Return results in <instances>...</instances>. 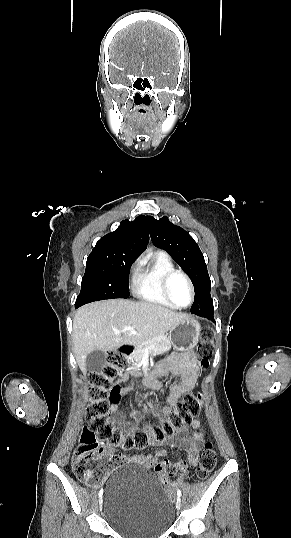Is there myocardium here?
I'll list each match as a JSON object with an SVG mask.
<instances>
[{
  "label": "myocardium",
  "instance_id": "1",
  "mask_svg": "<svg viewBox=\"0 0 291 538\" xmlns=\"http://www.w3.org/2000/svg\"><path fill=\"white\" fill-rule=\"evenodd\" d=\"M177 275H180L182 276L185 281L187 282L188 286H189V290H190V301L189 303L186 305V306H179L177 305L173 299H172V296H171V293H170V283L172 281V279L177 276ZM162 288H163V293H164V296L165 298L168 300V302L175 308L177 309H186L188 307H190L193 302H194V299H195V289H194V285H193V282L192 280L190 279V277L182 270H179V269H174L168 273L165 274V276L163 277V280H162Z\"/></svg>",
  "mask_w": 291,
  "mask_h": 538
}]
</instances>
